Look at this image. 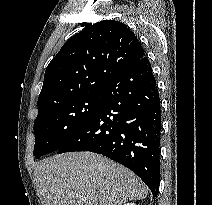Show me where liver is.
Wrapping results in <instances>:
<instances>
[{
  "label": "liver",
  "instance_id": "obj_1",
  "mask_svg": "<svg viewBox=\"0 0 212 205\" xmlns=\"http://www.w3.org/2000/svg\"><path fill=\"white\" fill-rule=\"evenodd\" d=\"M34 173L42 205H122L148 194L132 171L93 152L46 158Z\"/></svg>",
  "mask_w": 212,
  "mask_h": 205
}]
</instances>
